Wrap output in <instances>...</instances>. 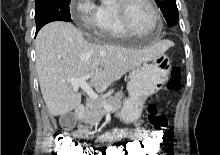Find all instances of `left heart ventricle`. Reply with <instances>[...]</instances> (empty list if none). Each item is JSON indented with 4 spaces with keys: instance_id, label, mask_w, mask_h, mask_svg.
Masks as SVG:
<instances>
[{
    "instance_id": "1",
    "label": "left heart ventricle",
    "mask_w": 220,
    "mask_h": 155,
    "mask_svg": "<svg viewBox=\"0 0 220 155\" xmlns=\"http://www.w3.org/2000/svg\"><path fill=\"white\" fill-rule=\"evenodd\" d=\"M128 16L132 26L139 31H148L153 28V14L143 0H135L130 4Z\"/></svg>"
}]
</instances>
